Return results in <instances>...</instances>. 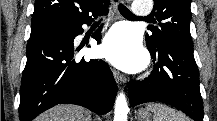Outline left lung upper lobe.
I'll list each match as a JSON object with an SVG mask.
<instances>
[{
	"label": "left lung upper lobe",
	"instance_id": "obj_1",
	"mask_svg": "<svg viewBox=\"0 0 217 121\" xmlns=\"http://www.w3.org/2000/svg\"><path fill=\"white\" fill-rule=\"evenodd\" d=\"M190 3L191 0H154L153 15L159 21V27H148L147 45L157 48L168 41H176L193 48Z\"/></svg>",
	"mask_w": 217,
	"mask_h": 121
}]
</instances>
